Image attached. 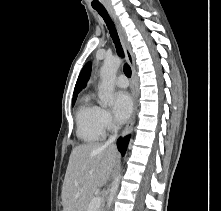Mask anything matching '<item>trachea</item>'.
Here are the masks:
<instances>
[{
    "label": "trachea",
    "mask_w": 221,
    "mask_h": 211,
    "mask_svg": "<svg viewBox=\"0 0 221 211\" xmlns=\"http://www.w3.org/2000/svg\"><path fill=\"white\" fill-rule=\"evenodd\" d=\"M95 10L104 19V21H105V23H106V25L108 27L109 33L111 35V38H112V40H113V42L115 44L117 53L121 57H124L123 48L121 46L117 30L115 28V25H114L113 21L111 20L110 16L108 15L106 9L105 8H95ZM124 73H125V75L128 78L131 77V68H130V66L127 63L124 64Z\"/></svg>",
    "instance_id": "trachea-1"
}]
</instances>
